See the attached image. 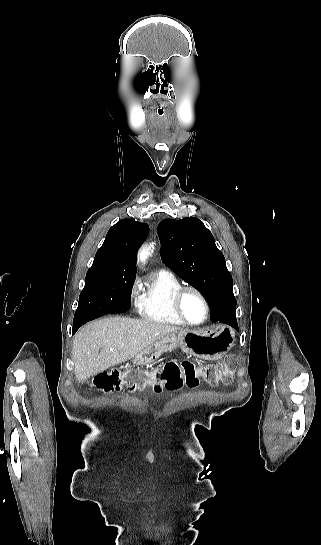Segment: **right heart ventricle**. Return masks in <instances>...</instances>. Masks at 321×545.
<instances>
[{"mask_svg":"<svg viewBox=\"0 0 321 545\" xmlns=\"http://www.w3.org/2000/svg\"><path fill=\"white\" fill-rule=\"evenodd\" d=\"M180 286L182 283L174 274L157 272L140 300V317L157 325L182 326L170 309L171 295Z\"/></svg>","mask_w":321,"mask_h":545,"instance_id":"right-heart-ventricle-1","label":"right heart ventricle"}]
</instances>
